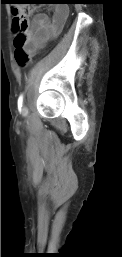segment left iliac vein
<instances>
[{
  "instance_id": "obj_1",
  "label": "left iliac vein",
  "mask_w": 122,
  "mask_h": 257,
  "mask_svg": "<svg viewBox=\"0 0 122 257\" xmlns=\"http://www.w3.org/2000/svg\"><path fill=\"white\" fill-rule=\"evenodd\" d=\"M22 113H23V114H27V113H28V109H27V107H23V109H22Z\"/></svg>"
}]
</instances>
